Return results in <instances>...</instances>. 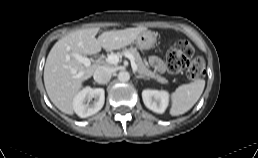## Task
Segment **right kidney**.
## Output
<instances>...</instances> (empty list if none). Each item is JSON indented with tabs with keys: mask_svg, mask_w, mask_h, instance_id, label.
I'll return each instance as SVG.
<instances>
[{
	"mask_svg": "<svg viewBox=\"0 0 258 158\" xmlns=\"http://www.w3.org/2000/svg\"><path fill=\"white\" fill-rule=\"evenodd\" d=\"M95 99L92 104L90 100ZM105 102V91L103 88L86 87L82 89L73 99V110L81 118L96 114Z\"/></svg>",
	"mask_w": 258,
	"mask_h": 158,
	"instance_id": "right-kidney-1",
	"label": "right kidney"
}]
</instances>
